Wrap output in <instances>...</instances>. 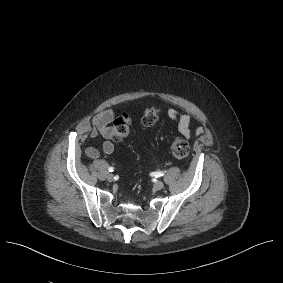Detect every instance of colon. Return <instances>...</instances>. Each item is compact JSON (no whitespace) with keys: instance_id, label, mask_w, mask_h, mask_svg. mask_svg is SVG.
<instances>
[{"instance_id":"1","label":"colon","mask_w":283,"mask_h":283,"mask_svg":"<svg viewBox=\"0 0 283 283\" xmlns=\"http://www.w3.org/2000/svg\"><path fill=\"white\" fill-rule=\"evenodd\" d=\"M159 119V110L156 107H149L145 110L142 116V124L144 127H152ZM131 118L127 113L119 115L113 124V139L121 141L125 139L131 128ZM170 151L176 159H184L188 156L190 151L189 143L181 137L174 139L170 146Z\"/></svg>"}]
</instances>
